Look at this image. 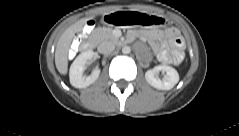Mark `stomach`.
I'll use <instances>...</instances> for the list:
<instances>
[{
    "label": "stomach",
    "mask_w": 239,
    "mask_h": 136,
    "mask_svg": "<svg viewBox=\"0 0 239 136\" xmlns=\"http://www.w3.org/2000/svg\"><path fill=\"white\" fill-rule=\"evenodd\" d=\"M105 22L111 25H143L162 27L163 17H154L149 14L135 13L132 11L106 10Z\"/></svg>",
    "instance_id": "1"
}]
</instances>
